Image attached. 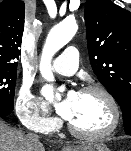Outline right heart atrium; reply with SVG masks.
<instances>
[{
	"label": "right heart atrium",
	"mask_w": 131,
	"mask_h": 151,
	"mask_svg": "<svg viewBox=\"0 0 131 151\" xmlns=\"http://www.w3.org/2000/svg\"><path fill=\"white\" fill-rule=\"evenodd\" d=\"M15 108L20 121L33 130L46 132L51 130L56 123L46 103L33 93L30 84L21 86Z\"/></svg>",
	"instance_id": "right-heart-atrium-1"
}]
</instances>
